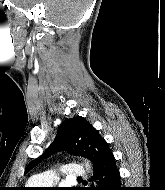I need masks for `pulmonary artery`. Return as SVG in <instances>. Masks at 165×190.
Here are the masks:
<instances>
[{
	"label": "pulmonary artery",
	"instance_id": "e3ab8cb5",
	"mask_svg": "<svg viewBox=\"0 0 165 190\" xmlns=\"http://www.w3.org/2000/svg\"><path fill=\"white\" fill-rule=\"evenodd\" d=\"M61 171L62 175L71 179L82 178L86 175L84 167L76 163L63 165ZM56 177L53 172H45L34 176L32 181L37 185H51Z\"/></svg>",
	"mask_w": 165,
	"mask_h": 190
}]
</instances>
